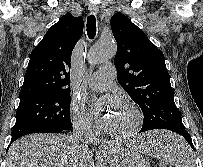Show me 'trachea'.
Wrapping results in <instances>:
<instances>
[{
	"label": "trachea",
	"mask_w": 203,
	"mask_h": 167,
	"mask_svg": "<svg viewBox=\"0 0 203 167\" xmlns=\"http://www.w3.org/2000/svg\"><path fill=\"white\" fill-rule=\"evenodd\" d=\"M87 35L89 39H93L96 35V18L94 15L87 18Z\"/></svg>",
	"instance_id": "obj_1"
}]
</instances>
